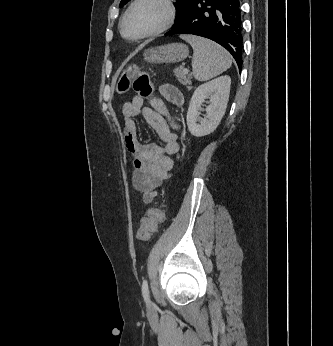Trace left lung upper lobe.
Returning <instances> with one entry per match:
<instances>
[{"mask_svg": "<svg viewBox=\"0 0 333 346\" xmlns=\"http://www.w3.org/2000/svg\"><path fill=\"white\" fill-rule=\"evenodd\" d=\"M130 0H121L120 7L124 6L127 2ZM193 0H177V7H176V18L175 22H179L183 17L185 16V12L188 8V6L191 4Z\"/></svg>", "mask_w": 333, "mask_h": 346, "instance_id": "5c2ea615", "label": "left lung upper lobe"}]
</instances>
